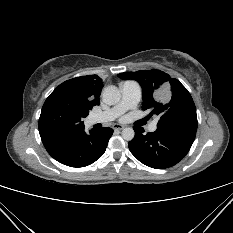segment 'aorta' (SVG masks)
I'll return each instance as SVG.
<instances>
[{
    "mask_svg": "<svg viewBox=\"0 0 233 233\" xmlns=\"http://www.w3.org/2000/svg\"><path fill=\"white\" fill-rule=\"evenodd\" d=\"M102 98L104 103L108 105H115L120 101L121 93L116 86L110 85L104 88ZM134 136L135 132L133 128L128 127L122 130V137L124 140L131 141Z\"/></svg>",
    "mask_w": 233,
    "mask_h": 233,
    "instance_id": "aorta-1",
    "label": "aorta"
}]
</instances>
